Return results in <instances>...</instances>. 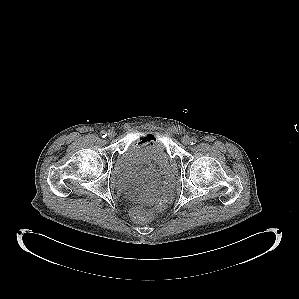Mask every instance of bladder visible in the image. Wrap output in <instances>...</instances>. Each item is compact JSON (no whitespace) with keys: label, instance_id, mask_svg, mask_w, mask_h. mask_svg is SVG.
<instances>
[{"label":"bladder","instance_id":"1","mask_svg":"<svg viewBox=\"0 0 299 299\" xmlns=\"http://www.w3.org/2000/svg\"><path fill=\"white\" fill-rule=\"evenodd\" d=\"M142 164H154L170 179L174 178L173 159L164 136L154 135L146 140H131L116 159L113 174L118 182L124 181Z\"/></svg>","mask_w":299,"mask_h":299}]
</instances>
